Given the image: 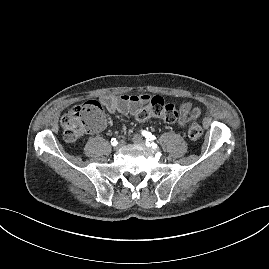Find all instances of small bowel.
<instances>
[{
    "label": "small bowel",
    "mask_w": 269,
    "mask_h": 269,
    "mask_svg": "<svg viewBox=\"0 0 269 269\" xmlns=\"http://www.w3.org/2000/svg\"><path fill=\"white\" fill-rule=\"evenodd\" d=\"M150 100L147 95H117L103 96L101 104L112 113L119 114H137L139 109ZM190 113L193 118L200 115L201 109L193 106L190 102L183 103L179 109V116L176 120L178 125L183 127L186 123V114ZM105 122L99 130L103 129Z\"/></svg>",
    "instance_id": "obj_1"
}]
</instances>
